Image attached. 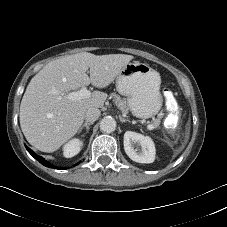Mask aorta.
<instances>
[{"label":"aorta","instance_id":"1","mask_svg":"<svg viewBox=\"0 0 227 227\" xmlns=\"http://www.w3.org/2000/svg\"><path fill=\"white\" fill-rule=\"evenodd\" d=\"M116 129V121L112 117H104L100 122V130L105 133H111Z\"/></svg>","mask_w":227,"mask_h":227}]
</instances>
